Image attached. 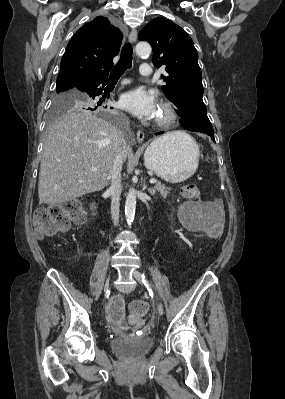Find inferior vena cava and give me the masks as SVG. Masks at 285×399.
<instances>
[{"label": "inferior vena cava", "instance_id": "inferior-vena-cava-1", "mask_svg": "<svg viewBox=\"0 0 285 399\" xmlns=\"http://www.w3.org/2000/svg\"><path fill=\"white\" fill-rule=\"evenodd\" d=\"M120 147L115 157L112 173H111V186L109 192L111 194V216L114 226L118 225L119 222V211H120V194H121V171L123 161L125 159V147L126 142L124 138L120 139Z\"/></svg>", "mask_w": 285, "mask_h": 399}]
</instances>
